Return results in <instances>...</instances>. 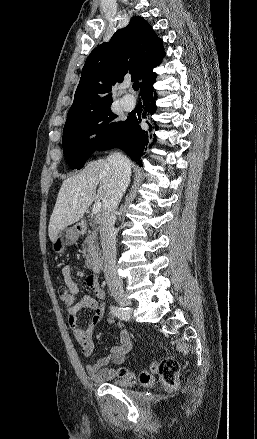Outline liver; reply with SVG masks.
I'll list each match as a JSON object with an SVG mask.
<instances>
[{
  "label": "liver",
  "mask_w": 257,
  "mask_h": 439,
  "mask_svg": "<svg viewBox=\"0 0 257 439\" xmlns=\"http://www.w3.org/2000/svg\"><path fill=\"white\" fill-rule=\"evenodd\" d=\"M113 173L110 163L99 159L88 163L79 174L63 181L48 226L52 242L61 230L78 222L93 202L104 201Z\"/></svg>",
  "instance_id": "6515ba94"
}]
</instances>
